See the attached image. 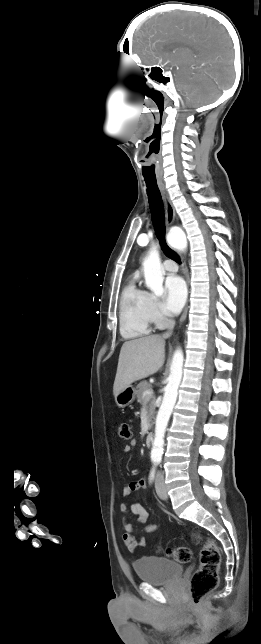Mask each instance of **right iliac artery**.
I'll return each mask as SVG.
<instances>
[{
    "label": "right iliac artery",
    "instance_id": "1",
    "mask_svg": "<svg viewBox=\"0 0 261 644\" xmlns=\"http://www.w3.org/2000/svg\"><path fill=\"white\" fill-rule=\"evenodd\" d=\"M155 477V467L152 468L151 474H150V481H152Z\"/></svg>",
    "mask_w": 261,
    "mask_h": 644
}]
</instances>
